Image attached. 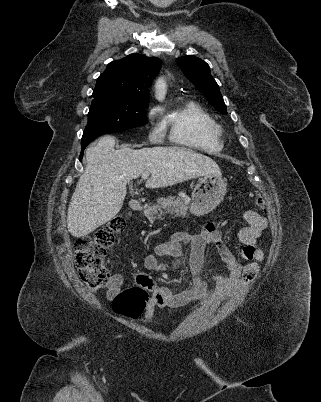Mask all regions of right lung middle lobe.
Segmentation results:
<instances>
[{
    "instance_id": "obj_1",
    "label": "right lung middle lobe",
    "mask_w": 321,
    "mask_h": 402,
    "mask_svg": "<svg viewBox=\"0 0 321 402\" xmlns=\"http://www.w3.org/2000/svg\"><path fill=\"white\" fill-rule=\"evenodd\" d=\"M88 113V123L82 139L122 131L147 123L145 109L148 102L132 101L126 98L103 93H93Z\"/></svg>"
}]
</instances>
